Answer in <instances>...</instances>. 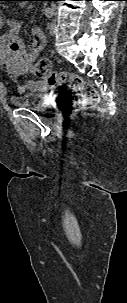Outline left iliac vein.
<instances>
[{"label": "left iliac vein", "instance_id": "4c4485c4", "mask_svg": "<svg viewBox=\"0 0 127 303\" xmlns=\"http://www.w3.org/2000/svg\"><path fill=\"white\" fill-rule=\"evenodd\" d=\"M57 31V23L56 21H52V23L50 24V27H49V32L51 35H54Z\"/></svg>", "mask_w": 127, "mask_h": 303}]
</instances>
